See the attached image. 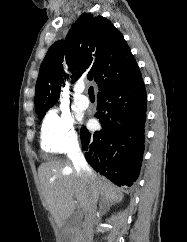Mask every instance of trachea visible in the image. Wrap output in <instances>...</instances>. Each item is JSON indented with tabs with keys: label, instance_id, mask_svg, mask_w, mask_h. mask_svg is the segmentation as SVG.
<instances>
[{
	"label": "trachea",
	"instance_id": "1",
	"mask_svg": "<svg viewBox=\"0 0 187 242\" xmlns=\"http://www.w3.org/2000/svg\"><path fill=\"white\" fill-rule=\"evenodd\" d=\"M88 94H89L90 98H94L95 97L93 86L89 87Z\"/></svg>",
	"mask_w": 187,
	"mask_h": 242
}]
</instances>
